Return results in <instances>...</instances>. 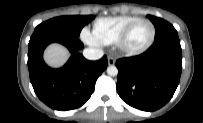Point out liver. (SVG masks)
Returning <instances> with one entry per match:
<instances>
[{"mask_svg": "<svg viewBox=\"0 0 203 123\" xmlns=\"http://www.w3.org/2000/svg\"><path fill=\"white\" fill-rule=\"evenodd\" d=\"M69 57L67 49L57 43L50 44L44 52V60L52 68L63 66Z\"/></svg>", "mask_w": 203, "mask_h": 123, "instance_id": "liver-1", "label": "liver"}]
</instances>
